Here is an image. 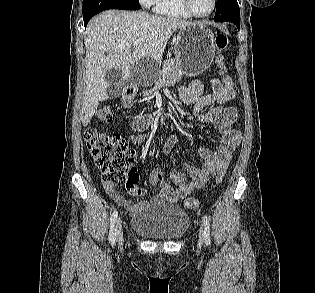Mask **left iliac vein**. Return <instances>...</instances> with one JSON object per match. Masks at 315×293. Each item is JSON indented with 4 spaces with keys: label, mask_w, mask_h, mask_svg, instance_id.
<instances>
[{
    "label": "left iliac vein",
    "mask_w": 315,
    "mask_h": 293,
    "mask_svg": "<svg viewBox=\"0 0 315 293\" xmlns=\"http://www.w3.org/2000/svg\"><path fill=\"white\" fill-rule=\"evenodd\" d=\"M204 240V227L201 226L199 229V242L202 243Z\"/></svg>",
    "instance_id": "left-iliac-vein-1"
}]
</instances>
